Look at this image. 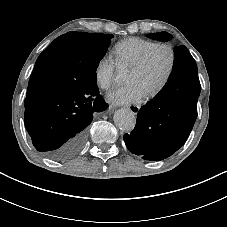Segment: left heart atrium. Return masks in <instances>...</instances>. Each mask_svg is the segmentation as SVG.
Wrapping results in <instances>:
<instances>
[{
  "label": "left heart atrium",
  "mask_w": 227,
  "mask_h": 227,
  "mask_svg": "<svg viewBox=\"0 0 227 227\" xmlns=\"http://www.w3.org/2000/svg\"><path fill=\"white\" fill-rule=\"evenodd\" d=\"M146 95V92L138 85L128 84L123 88L110 91L106 95V99L112 105H128L141 102Z\"/></svg>",
  "instance_id": "left-heart-atrium-1"
}]
</instances>
